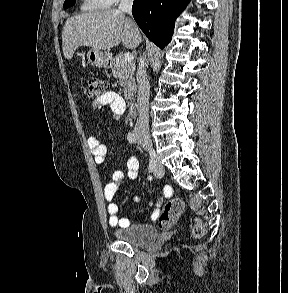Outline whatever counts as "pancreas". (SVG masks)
I'll return each mask as SVG.
<instances>
[{
  "instance_id": "1",
  "label": "pancreas",
  "mask_w": 288,
  "mask_h": 293,
  "mask_svg": "<svg viewBox=\"0 0 288 293\" xmlns=\"http://www.w3.org/2000/svg\"><path fill=\"white\" fill-rule=\"evenodd\" d=\"M111 69L113 76L124 88L125 99L131 101L137 90L134 78L135 64L123 61L122 54H119L111 59Z\"/></svg>"
}]
</instances>
